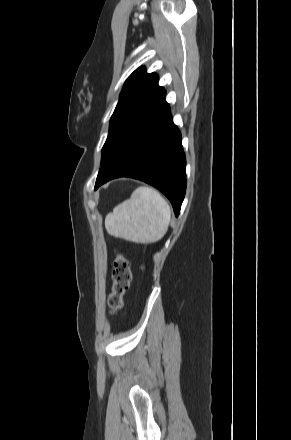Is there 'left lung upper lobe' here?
<instances>
[{"instance_id": "left-lung-upper-lobe-1", "label": "left lung upper lobe", "mask_w": 291, "mask_h": 440, "mask_svg": "<svg viewBox=\"0 0 291 440\" xmlns=\"http://www.w3.org/2000/svg\"><path fill=\"white\" fill-rule=\"evenodd\" d=\"M163 92L164 89L158 85V75L155 73L147 74L144 67L138 68L129 76L110 119L109 133L102 149L101 163L127 126Z\"/></svg>"}]
</instances>
